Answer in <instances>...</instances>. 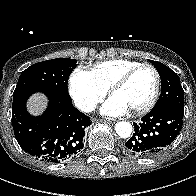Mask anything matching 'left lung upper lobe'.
<instances>
[{
  "label": "left lung upper lobe",
  "instance_id": "left-lung-upper-lobe-1",
  "mask_svg": "<svg viewBox=\"0 0 196 196\" xmlns=\"http://www.w3.org/2000/svg\"><path fill=\"white\" fill-rule=\"evenodd\" d=\"M149 61L157 69L162 84L161 95L153 109L167 105L184 108V91L180 84L178 75L169 67L160 62L153 60Z\"/></svg>",
  "mask_w": 196,
  "mask_h": 196
}]
</instances>
